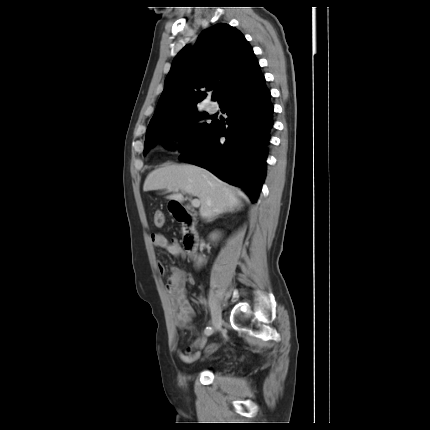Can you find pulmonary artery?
<instances>
[{
    "mask_svg": "<svg viewBox=\"0 0 430 430\" xmlns=\"http://www.w3.org/2000/svg\"><path fill=\"white\" fill-rule=\"evenodd\" d=\"M207 109H208L209 111L213 112V111H215V110H216V107H215V105H213V104H208V105H207Z\"/></svg>",
    "mask_w": 430,
    "mask_h": 430,
    "instance_id": "pulmonary-artery-1",
    "label": "pulmonary artery"
}]
</instances>
